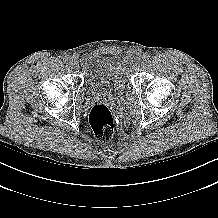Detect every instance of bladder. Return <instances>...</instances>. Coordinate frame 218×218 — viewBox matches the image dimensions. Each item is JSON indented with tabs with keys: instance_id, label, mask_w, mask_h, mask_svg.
<instances>
[{
	"instance_id": "31cf9c89",
	"label": "bladder",
	"mask_w": 218,
	"mask_h": 218,
	"mask_svg": "<svg viewBox=\"0 0 218 218\" xmlns=\"http://www.w3.org/2000/svg\"><path fill=\"white\" fill-rule=\"evenodd\" d=\"M80 65L88 95L123 94L130 87L129 64L120 56L86 54L80 59Z\"/></svg>"
}]
</instances>
